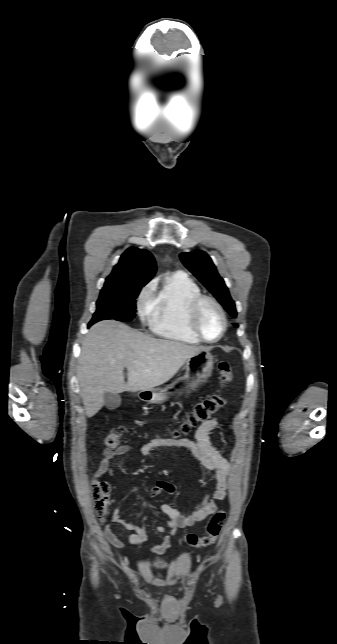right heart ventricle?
<instances>
[{"mask_svg": "<svg viewBox=\"0 0 337 644\" xmlns=\"http://www.w3.org/2000/svg\"><path fill=\"white\" fill-rule=\"evenodd\" d=\"M201 288L189 275L175 272L168 276L152 298L150 327L158 336L196 345L201 341L188 326V310Z\"/></svg>", "mask_w": 337, "mask_h": 644, "instance_id": "obj_1", "label": "right heart ventricle"}]
</instances>
